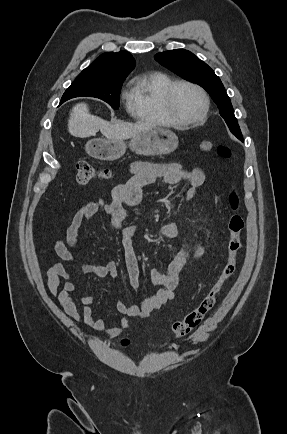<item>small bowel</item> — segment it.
Instances as JSON below:
<instances>
[{
    "label": "small bowel",
    "mask_w": 287,
    "mask_h": 434,
    "mask_svg": "<svg viewBox=\"0 0 287 434\" xmlns=\"http://www.w3.org/2000/svg\"><path fill=\"white\" fill-rule=\"evenodd\" d=\"M205 181V175L199 168L183 169L178 163L154 164L146 161H136L130 167L129 176L123 183L117 185L112 192V199L104 203L102 199L88 202L83 205L72 217L64 233L58 236L54 249L58 257L66 262L77 265L83 274H91L99 278L111 277L118 279L120 274L115 261L111 260L104 265L80 263L76 260L71 248H79L78 233L97 213L110 218L112 228L117 233L119 242L124 250L125 264L130 283L133 287L140 285V270L133 250V238L138 228L135 225L122 224L129 209L140 204L143 187L162 183L167 186H176L185 183L189 186L185 193L186 201L194 198L196 189ZM181 226L177 222H168L161 226L159 234L162 238L171 239L181 233ZM189 248L184 246L175 258L163 270L152 269L151 279L158 290L152 296L139 304L127 305L118 301L115 305L117 312L122 315L113 326L107 320L95 318L92 305L94 297L81 295V312L78 310L73 294L76 284L71 280V274L61 261L51 264L47 271V287L50 293L57 297L65 313L75 321L83 320L92 330L104 331L105 338L118 336L129 325V317H148L152 312L174 299V291L180 283V276L188 259Z\"/></svg>",
    "instance_id": "small-bowel-1"
}]
</instances>
